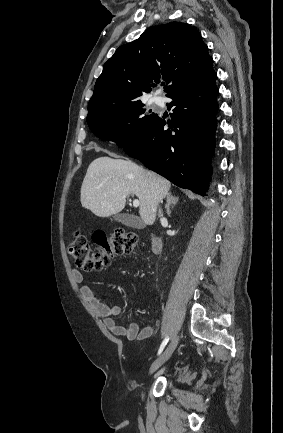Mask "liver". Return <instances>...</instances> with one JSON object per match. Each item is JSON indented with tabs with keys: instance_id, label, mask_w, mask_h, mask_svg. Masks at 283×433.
<instances>
[{
	"instance_id": "6515ba94",
	"label": "liver",
	"mask_w": 283,
	"mask_h": 433,
	"mask_svg": "<svg viewBox=\"0 0 283 433\" xmlns=\"http://www.w3.org/2000/svg\"><path fill=\"white\" fill-rule=\"evenodd\" d=\"M171 182L156 172L145 170L133 160L100 156L92 160L81 186L80 200L97 217L117 214L126 204V196L136 194L139 214L145 225H153L159 202L165 198Z\"/></svg>"
}]
</instances>
